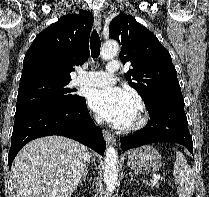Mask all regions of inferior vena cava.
I'll return each mask as SVG.
<instances>
[{
	"label": "inferior vena cava",
	"mask_w": 209,
	"mask_h": 197,
	"mask_svg": "<svg viewBox=\"0 0 209 197\" xmlns=\"http://www.w3.org/2000/svg\"><path fill=\"white\" fill-rule=\"evenodd\" d=\"M95 121H96L98 124H101V123H102V120L99 119V118H96ZM89 161H90V159H89Z\"/></svg>",
	"instance_id": "obj_1"
}]
</instances>
